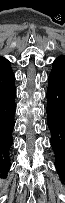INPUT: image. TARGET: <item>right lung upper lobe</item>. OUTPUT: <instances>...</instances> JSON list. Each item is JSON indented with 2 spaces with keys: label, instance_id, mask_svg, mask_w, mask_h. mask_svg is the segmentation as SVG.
<instances>
[{
  "label": "right lung upper lobe",
  "instance_id": "cb5924a9",
  "mask_svg": "<svg viewBox=\"0 0 65 203\" xmlns=\"http://www.w3.org/2000/svg\"><path fill=\"white\" fill-rule=\"evenodd\" d=\"M10 62L3 57H0V66L6 67L9 66Z\"/></svg>",
  "mask_w": 65,
  "mask_h": 203
}]
</instances>
